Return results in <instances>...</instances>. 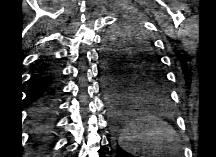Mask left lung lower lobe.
<instances>
[{"mask_svg":"<svg viewBox=\"0 0 216 157\" xmlns=\"http://www.w3.org/2000/svg\"><path fill=\"white\" fill-rule=\"evenodd\" d=\"M103 58L105 61V92L113 118V125L115 130L123 132L129 125L128 117L131 113L129 106L135 95L128 90L119 79L112 77L106 65V57L103 51Z\"/></svg>","mask_w":216,"mask_h":157,"instance_id":"0a47b994","label":"left lung lower lobe"}]
</instances>
